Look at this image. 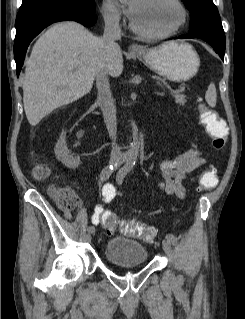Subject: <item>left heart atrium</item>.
I'll use <instances>...</instances> for the list:
<instances>
[{"label":"left heart atrium","mask_w":245,"mask_h":319,"mask_svg":"<svg viewBox=\"0 0 245 319\" xmlns=\"http://www.w3.org/2000/svg\"><path fill=\"white\" fill-rule=\"evenodd\" d=\"M140 0H125L124 7L128 16L132 19L136 14Z\"/></svg>","instance_id":"left-heart-atrium-1"}]
</instances>
